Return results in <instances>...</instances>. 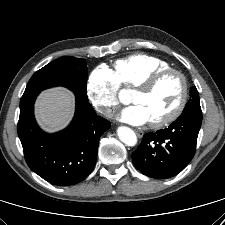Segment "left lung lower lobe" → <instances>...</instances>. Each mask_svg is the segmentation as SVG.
<instances>
[{
    "instance_id": "obj_1",
    "label": "left lung lower lobe",
    "mask_w": 225,
    "mask_h": 225,
    "mask_svg": "<svg viewBox=\"0 0 225 225\" xmlns=\"http://www.w3.org/2000/svg\"><path fill=\"white\" fill-rule=\"evenodd\" d=\"M202 111L180 115L168 128L146 133L132 154L135 167L155 179L170 178L181 172L195 154Z\"/></svg>"
}]
</instances>
